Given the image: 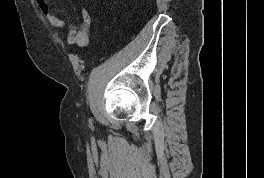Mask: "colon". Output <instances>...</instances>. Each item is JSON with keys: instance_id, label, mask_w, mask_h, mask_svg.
I'll return each mask as SVG.
<instances>
[{"instance_id": "colon-1", "label": "colon", "mask_w": 264, "mask_h": 178, "mask_svg": "<svg viewBox=\"0 0 264 178\" xmlns=\"http://www.w3.org/2000/svg\"><path fill=\"white\" fill-rule=\"evenodd\" d=\"M91 31V14L87 8L81 10V21L78 30L69 32L68 43L84 47L88 44Z\"/></svg>"}]
</instances>
